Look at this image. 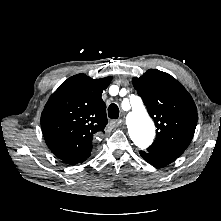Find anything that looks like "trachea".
I'll return each instance as SVG.
<instances>
[{
    "label": "trachea",
    "mask_w": 221,
    "mask_h": 221,
    "mask_svg": "<svg viewBox=\"0 0 221 221\" xmlns=\"http://www.w3.org/2000/svg\"><path fill=\"white\" fill-rule=\"evenodd\" d=\"M108 117L111 119H118L119 117V108L115 103H112L108 107Z\"/></svg>",
    "instance_id": "1"
}]
</instances>
